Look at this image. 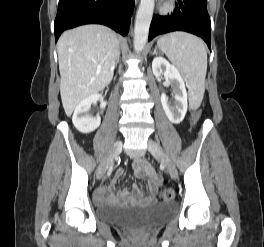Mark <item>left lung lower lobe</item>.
Instances as JSON below:
<instances>
[{
	"label": "left lung lower lobe",
	"mask_w": 264,
	"mask_h": 247,
	"mask_svg": "<svg viewBox=\"0 0 264 247\" xmlns=\"http://www.w3.org/2000/svg\"><path fill=\"white\" fill-rule=\"evenodd\" d=\"M174 12L168 16L154 14L150 25L149 38L173 31H186L201 37L210 48L211 22L206 0H178Z\"/></svg>",
	"instance_id": "left-lung-lower-lobe-1"
}]
</instances>
